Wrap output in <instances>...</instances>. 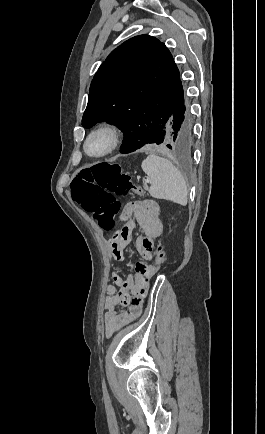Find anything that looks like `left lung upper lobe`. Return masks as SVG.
Wrapping results in <instances>:
<instances>
[{
	"label": "left lung upper lobe",
	"instance_id": "obj_1",
	"mask_svg": "<svg viewBox=\"0 0 265 434\" xmlns=\"http://www.w3.org/2000/svg\"><path fill=\"white\" fill-rule=\"evenodd\" d=\"M82 126L106 121L124 138L154 128L183 92L171 53L158 39L140 35L115 50L99 67L89 90Z\"/></svg>",
	"mask_w": 265,
	"mask_h": 434
}]
</instances>
